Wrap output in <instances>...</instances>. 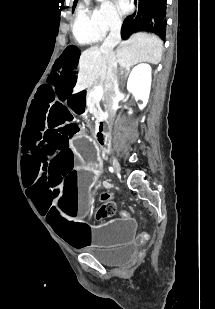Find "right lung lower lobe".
<instances>
[{"label":"right lung lower lobe","instance_id":"right-lung-lower-lobe-1","mask_svg":"<svg viewBox=\"0 0 215 309\" xmlns=\"http://www.w3.org/2000/svg\"><path fill=\"white\" fill-rule=\"evenodd\" d=\"M138 10L128 16L121 28L123 39L137 31L153 32L162 38L166 34V0H134Z\"/></svg>","mask_w":215,"mask_h":309}]
</instances>
